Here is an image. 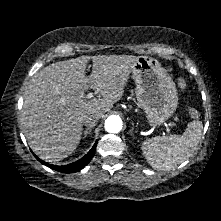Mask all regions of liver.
<instances>
[{
    "label": "liver",
    "instance_id": "liver-1",
    "mask_svg": "<svg viewBox=\"0 0 221 221\" xmlns=\"http://www.w3.org/2000/svg\"><path fill=\"white\" fill-rule=\"evenodd\" d=\"M132 55L82 56L44 67L31 79L24 94L23 132L30 148L42 160L57 162L74 152L86 114L102 117L124 93L133 64ZM92 59V74L86 68ZM94 89L102 98L87 100Z\"/></svg>",
    "mask_w": 221,
    "mask_h": 221
}]
</instances>
